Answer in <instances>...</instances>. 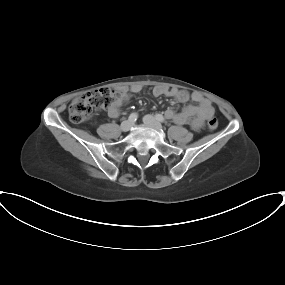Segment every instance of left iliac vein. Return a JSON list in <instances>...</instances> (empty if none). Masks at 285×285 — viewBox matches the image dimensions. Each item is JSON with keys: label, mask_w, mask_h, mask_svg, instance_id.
I'll return each instance as SVG.
<instances>
[{"label": "left iliac vein", "mask_w": 285, "mask_h": 285, "mask_svg": "<svg viewBox=\"0 0 285 285\" xmlns=\"http://www.w3.org/2000/svg\"><path fill=\"white\" fill-rule=\"evenodd\" d=\"M143 122L145 125L155 128V129H161V124L152 116V115H146L143 117Z\"/></svg>", "instance_id": "left-iliac-vein-1"}]
</instances>
